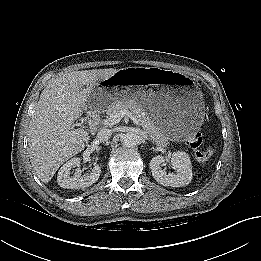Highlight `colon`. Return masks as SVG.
Masks as SVG:
<instances>
[{
    "label": "colon",
    "instance_id": "colon-1",
    "mask_svg": "<svg viewBox=\"0 0 261 261\" xmlns=\"http://www.w3.org/2000/svg\"><path fill=\"white\" fill-rule=\"evenodd\" d=\"M203 138L200 133H195L193 136L190 137L188 144L193 151L194 157L198 161H205L209 159L212 154L213 150L211 147H207L202 149Z\"/></svg>",
    "mask_w": 261,
    "mask_h": 261
}]
</instances>
